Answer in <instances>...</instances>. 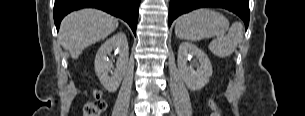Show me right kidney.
<instances>
[{
  "instance_id": "right-kidney-1",
  "label": "right kidney",
  "mask_w": 305,
  "mask_h": 116,
  "mask_svg": "<svg viewBox=\"0 0 305 116\" xmlns=\"http://www.w3.org/2000/svg\"><path fill=\"white\" fill-rule=\"evenodd\" d=\"M113 50H117L119 53L115 69L109 59ZM128 58V42L123 32L113 35L99 48L95 57V73L109 92H115L118 89L128 66ZM109 72L111 76H109Z\"/></svg>"
}]
</instances>
